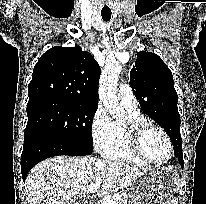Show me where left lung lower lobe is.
Wrapping results in <instances>:
<instances>
[{
	"mask_svg": "<svg viewBox=\"0 0 206 204\" xmlns=\"http://www.w3.org/2000/svg\"><path fill=\"white\" fill-rule=\"evenodd\" d=\"M175 156L178 158L181 166L183 167V166H184V161H183L182 152H180V153H178V154H175Z\"/></svg>",
	"mask_w": 206,
	"mask_h": 204,
	"instance_id": "obj_1",
	"label": "left lung lower lobe"
}]
</instances>
